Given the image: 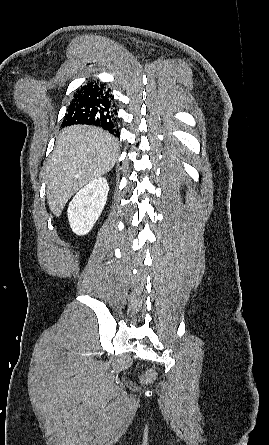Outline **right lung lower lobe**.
I'll use <instances>...</instances> for the list:
<instances>
[{
	"instance_id": "obj_1",
	"label": "right lung lower lobe",
	"mask_w": 269,
	"mask_h": 445,
	"mask_svg": "<svg viewBox=\"0 0 269 445\" xmlns=\"http://www.w3.org/2000/svg\"><path fill=\"white\" fill-rule=\"evenodd\" d=\"M62 126L86 124L99 126L115 137L120 136L113 95L105 84L91 80L74 94Z\"/></svg>"
}]
</instances>
